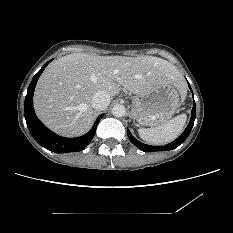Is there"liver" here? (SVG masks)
Here are the masks:
<instances>
[{"instance_id":"1","label":"liver","mask_w":233,"mask_h":233,"mask_svg":"<svg viewBox=\"0 0 233 233\" xmlns=\"http://www.w3.org/2000/svg\"><path fill=\"white\" fill-rule=\"evenodd\" d=\"M167 84H174L185 94L182 75L162 58L74 53L55 60L44 70L36 85L34 108L54 132L80 136L93 124L91 100L96 92L105 91L111 98L123 87L141 95Z\"/></svg>"}]
</instances>
